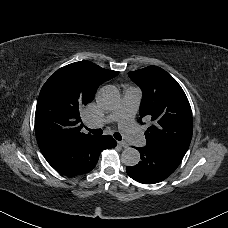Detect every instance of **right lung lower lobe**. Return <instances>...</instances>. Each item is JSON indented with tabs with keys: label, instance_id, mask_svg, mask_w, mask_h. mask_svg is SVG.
Wrapping results in <instances>:
<instances>
[{
	"label": "right lung lower lobe",
	"instance_id": "right-lung-lower-lobe-1",
	"mask_svg": "<svg viewBox=\"0 0 228 228\" xmlns=\"http://www.w3.org/2000/svg\"><path fill=\"white\" fill-rule=\"evenodd\" d=\"M116 144L110 135L92 136L65 145L44 157L59 173L76 176L92 170L101 151L114 148Z\"/></svg>",
	"mask_w": 228,
	"mask_h": 228
}]
</instances>
